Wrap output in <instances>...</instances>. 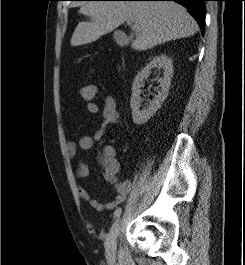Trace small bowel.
<instances>
[{
	"label": "small bowel",
	"mask_w": 245,
	"mask_h": 265,
	"mask_svg": "<svg viewBox=\"0 0 245 265\" xmlns=\"http://www.w3.org/2000/svg\"><path fill=\"white\" fill-rule=\"evenodd\" d=\"M86 109L91 114H98L100 109L94 102H89L86 105ZM102 121L99 127L94 131L92 135L82 136L78 143L67 142L66 148L69 158L72 160L76 157L78 149L83 152L91 151L94 144L100 141L109 126L115 124L119 119V111L115 98L113 96H107L105 103L101 111ZM99 162L102 166V172L104 178L110 182L116 191V195L112 201L102 203L94 199L88 190L82 186L78 188V194L81 199L88 202V204L97 211L111 210L122 204L133 190V183L129 179L122 181L117 180V174L120 170V164L116 157V151L113 146H105L100 155ZM77 178H85L89 175V167L86 162L80 161L75 171ZM117 209V208H116Z\"/></svg>",
	"instance_id": "1"
}]
</instances>
